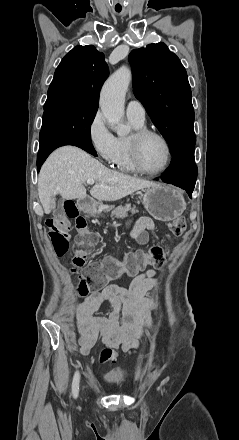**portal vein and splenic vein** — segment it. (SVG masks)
<instances>
[{"instance_id":"1","label":"portal vein and splenic vein","mask_w":239,"mask_h":440,"mask_svg":"<svg viewBox=\"0 0 239 440\" xmlns=\"http://www.w3.org/2000/svg\"><path fill=\"white\" fill-rule=\"evenodd\" d=\"M86 184H89V186H93L94 180H87ZM98 188V186H96Z\"/></svg>"}]
</instances>
